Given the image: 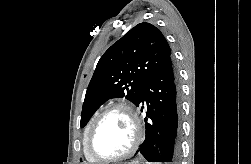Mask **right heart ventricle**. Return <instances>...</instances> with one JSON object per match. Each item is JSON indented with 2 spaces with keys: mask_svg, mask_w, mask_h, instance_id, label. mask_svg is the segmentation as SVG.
Masks as SVG:
<instances>
[{
  "mask_svg": "<svg viewBox=\"0 0 251 164\" xmlns=\"http://www.w3.org/2000/svg\"><path fill=\"white\" fill-rule=\"evenodd\" d=\"M97 117V115H94L88 122V124L86 125L85 127V131H84V154H85V157L86 159L89 161V162H94V160L92 158H90V156L87 154L86 152V139H87V135H88V132L91 128V125L93 123V121L95 120V118Z\"/></svg>",
  "mask_w": 251,
  "mask_h": 164,
  "instance_id": "1",
  "label": "right heart ventricle"
}]
</instances>
